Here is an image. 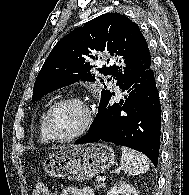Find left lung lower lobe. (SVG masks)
<instances>
[{
    "instance_id": "0a47b994",
    "label": "left lung lower lobe",
    "mask_w": 189,
    "mask_h": 195,
    "mask_svg": "<svg viewBox=\"0 0 189 195\" xmlns=\"http://www.w3.org/2000/svg\"><path fill=\"white\" fill-rule=\"evenodd\" d=\"M119 87L127 90L126 100L112 103L110 97L99 108L88 134L75 144L112 142L144 153L157 166L161 107L151 61Z\"/></svg>"
}]
</instances>
